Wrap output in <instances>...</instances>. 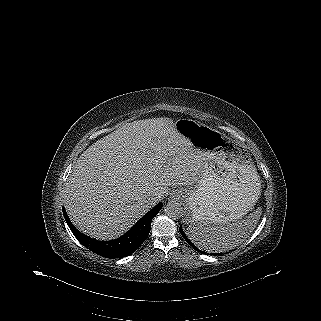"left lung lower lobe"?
Returning a JSON list of instances; mask_svg holds the SVG:
<instances>
[{"label":"left lung lower lobe","instance_id":"0a47b994","mask_svg":"<svg viewBox=\"0 0 321 321\" xmlns=\"http://www.w3.org/2000/svg\"><path fill=\"white\" fill-rule=\"evenodd\" d=\"M179 231H180L181 235L183 236V238H184L195 250H197L198 252H201V251L187 238V236H186L185 233L183 232L181 226H180V228H179ZM201 253H202V252H201Z\"/></svg>","mask_w":321,"mask_h":321}]
</instances>
